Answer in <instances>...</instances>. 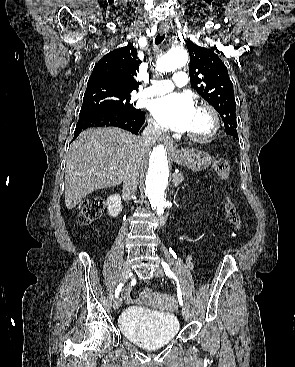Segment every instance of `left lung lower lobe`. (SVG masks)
<instances>
[{
	"mask_svg": "<svg viewBox=\"0 0 295 367\" xmlns=\"http://www.w3.org/2000/svg\"><path fill=\"white\" fill-rule=\"evenodd\" d=\"M230 135L238 139V135L237 134L231 133Z\"/></svg>",
	"mask_w": 295,
	"mask_h": 367,
	"instance_id": "obj_1",
	"label": "left lung lower lobe"
}]
</instances>
